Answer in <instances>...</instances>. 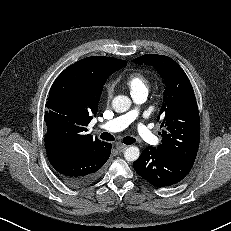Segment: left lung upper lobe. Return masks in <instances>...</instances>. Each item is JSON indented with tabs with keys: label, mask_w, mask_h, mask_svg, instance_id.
Listing matches in <instances>:
<instances>
[{
	"label": "left lung upper lobe",
	"mask_w": 231,
	"mask_h": 231,
	"mask_svg": "<svg viewBox=\"0 0 231 231\" xmlns=\"http://www.w3.org/2000/svg\"><path fill=\"white\" fill-rule=\"evenodd\" d=\"M152 65L165 83L158 120L162 121V144L156 151L194 162L200 142V118L192 85L183 69L170 57L147 54L133 60Z\"/></svg>",
	"instance_id": "left-lung-upper-lobe-1"
}]
</instances>
